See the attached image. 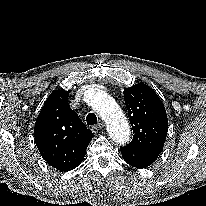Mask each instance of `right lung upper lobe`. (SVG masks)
I'll use <instances>...</instances> for the list:
<instances>
[{
	"label": "right lung upper lobe",
	"mask_w": 206,
	"mask_h": 206,
	"mask_svg": "<svg viewBox=\"0 0 206 206\" xmlns=\"http://www.w3.org/2000/svg\"><path fill=\"white\" fill-rule=\"evenodd\" d=\"M69 90H54L45 101L35 123L34 139L43 159L59 171L76 168L93 138L70 108Z\"/></svg>",
	"instance_id": "obj_1"
}]
</instances>
